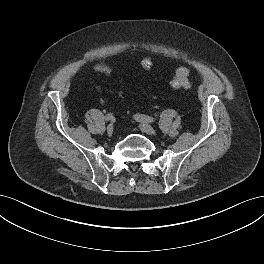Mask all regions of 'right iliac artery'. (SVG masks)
<instances>
[{
    "instance_id": "82829eb1",
    "label": "right iliac artery",
    "mask_w": 264,
    "mask_h": 264,
    "mask_svg": "<svg viewBox=\"0 0 264 264\" xmlns=\"http://www.w3.org/2000/svg\"><path fill=\"white\" fill-rule=\"evenodd\" d=\"M113 118H114L113 113H108V114L105 116V119H106L107 121L112 120Z\"/></svg>"
}]
</instances>
